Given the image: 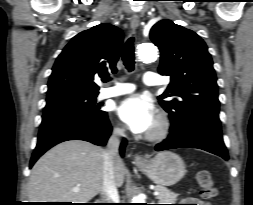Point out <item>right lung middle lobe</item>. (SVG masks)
Here are the masks:
<instances>
[{"label":"right lung middle lobe","instance_id":"dd1d6c3e","mask_svg":"<svg viewBox=\"0 0 253 205\" xmlns=\"http://www.w3.org/2000/svg\"><path fill=\"white\" fill-rule=\"evenodd\" d=\"M97 95L92 96H72L53 101H48L44 115L52 114H72L85 117L99 116L104 113L96 105Z\"/></svg>","mask_w":253,"mask_h":205}]
</instances>
